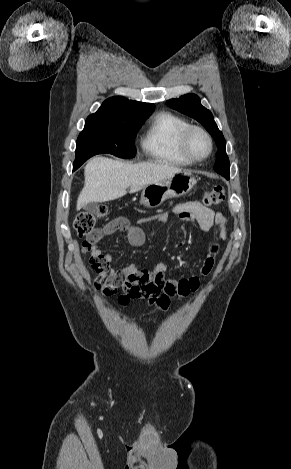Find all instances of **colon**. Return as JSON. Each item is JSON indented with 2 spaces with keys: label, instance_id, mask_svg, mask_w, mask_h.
I'll list each match as a JSON object with an SVG mask.
<instances>
[{
  "label": "colon",
  "instance_id": "1",
  "mask_svg": "<svg viewBox=\"0 0 291 469\" xmlns=\"http://www.w3.org/2000/svg\"><path fill=\"white\" fill-rule=\"evenodd\" d=\"M225 199V190L221 185H218L211 190H208L204 193L203 202L207 206L218 205L223 202ZM108 208L106 205H101L96 212L85 211L80 213L74 221V230L76 231L79 237L85 238L83 242V248L89 250V248L103 238L106 234L105 228L96 227L97 221L100 218H103L107 214ZM90 264L94 270L97 272H103L106 269V264L100 259L91 257ZM98 288L100 285L97 286ZM150 291H155L153 287H150ZM160 299V300H159ZM159 299L157 297H137L135 302L137 304L145 303L148 309H160L166 310L169 305V300L167 295H160ZM116 302L121 305V310L126 311L127 306L131 305L134 302V299L131 296L122 297L119 296L116 299ZM151 303V304H150Z\"/></svg>",
  "mask_w": 291,
  "mask_h": 469
}]
</instances>
